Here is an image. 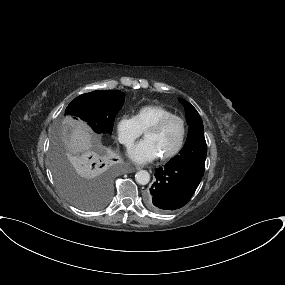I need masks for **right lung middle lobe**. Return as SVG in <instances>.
<instances>
[{
  "mask_svg": "<svg viewBox=\"0 0 285 285\" xmlns=\"http://www.w3.org/2000/svg\"><path fill=\"white\" fill-rule=\"evenodd\" d=\"M124 104V94L119 90H99L75 98L66 108V114L79 117L97 133H111L114 118ZM90 159V158H89ZM52 170L55 180L65 197L83 210L103 207L111 196V160L98 157L89 162L80 159L76 166L66 157L61 142L55 139L52 147ZM77 174L90 178L96 185L91 187ZM96 168V169H95ZM90 169H95L90 171Z\"/></svg>",
  "mask_w": 285,
  "mask_h": 285,
  "instance_id": "right-lung-middle-lobe-1",
  "label": "right lung middle lobe"
}]
</instances>
